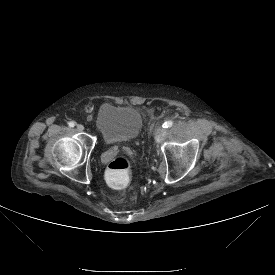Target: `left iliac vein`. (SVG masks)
I'll use <instances>...</instances> for the list:
<instances>
[{
	"instance_id": "left-iliac-vein-1",
	"label": "left iliac vein",
	"mask_w": 275,
	"mask_h": 275,
	"mask_svg": "<svg viewBox=\"0 0 275 275\" xmlns=\"http://www.w3.org/2000/svg\"><path fill=\"white\" fill-rule=\"evenodd\" d=\"M155 140L156 142L160 143L164 140L165 136H166V129H164L163 127H158L155 130Z\"/></svg>"
}]
</instances>
